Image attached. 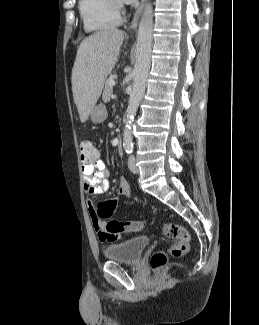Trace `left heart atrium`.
<instances>
[{
    "mask_svg": "<svg viewBox=\"0 0 259 325\" xmlns=\"http://www.w3.org/2000/svg\"><path fill=\"white\" fill-rule=\"evenodd\" d=\"M124 1H126L127 3H131V2H133L135 0H124Z\"/></svg>",
    "mask_w": 259,
    "mask_h": 325,
    "instance_id": "1",
    "label": "left heart atrium"
}]
</instances>
